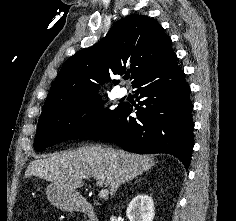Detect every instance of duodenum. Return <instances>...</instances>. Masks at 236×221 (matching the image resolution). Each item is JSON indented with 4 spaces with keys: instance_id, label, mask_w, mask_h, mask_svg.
<instances>
[{
    "instance_id": "410a0bca",
    "label": "duodenum",
    "mask_w": 236,
    "mask_h": 221,
    "mask_svg": "<svg viewBox=\"0 0 236 221\" xmlns=\"http://www.w3.org/2000/svg\"><path fill=\"white\" fill-rule=\"evenodd\" d=\"M78 211L87 215L89 221H99L96 209L90 201H82L78 205Z\"/></svg>"
}]
</instances>
